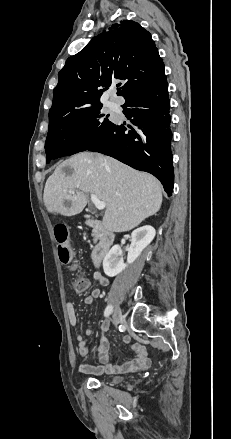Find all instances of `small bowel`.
<instances>
[{"label":"small bowel","mask_w":231,"mask_h":439,"mask_svg":"<svg viewBox=\"0 0 231 439\" xmlns=\"http://www.w3.org/2000/svg\"><path fill=\"white\" fill-rule=\"evenodd\" d=\"M93 278L97 281L101 286H108L109 280L106 276H104L99 271H95L93 273ZM101 296L100 289H93L88 295L84 297V303L89 305L92 304L93 301ZM66 311L69 319V323L71 326L75 327L77 325V314L75 306L72 302L66 303ZM108 329V323L105 322L102 324V330L106 331ZM93 330L91 328H87L85 334L87 336L92 335ZM76 340L78 343V353L81 358H87L89 356V347L88 341L80 334L76 335ZM124 343L130 342V337L125 335L123 337ZM132 350L135 354V357L123 364H112L110 363V353H109V345L106 338L102 337L99 345V365H88L83 364L80 366V371L85 374L91 375H101L104 373L107 374H115V373H125L137 370H143L148 368L150 364V360L148 358V353L146 348L140 343H135L132 345Z\"/></svg>","instance_id":"small-bowel-1"}]
</instances>
